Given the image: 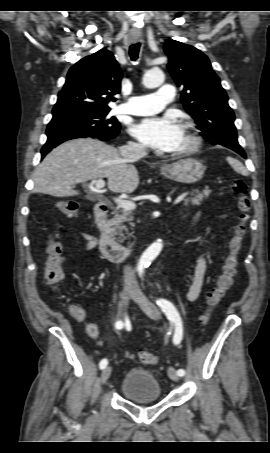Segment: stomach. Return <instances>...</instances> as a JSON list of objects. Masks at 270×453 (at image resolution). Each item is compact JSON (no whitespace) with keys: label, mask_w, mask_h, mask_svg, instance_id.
<instances>
[{"label":"stomach","mask_w":270,"mask_h":453,"mask_svg":"<svg viewBox=\"0 0 270 453\" xmlns=\"http://www.w3.org/2000/svg\"><path fill=\"white\" fill-rule=\"evenodd\" d=\"M204 171L203 164L193 158L181 159L161 168V173L165 177L184 184L198 182L203 178Z\"/></svg>","instance_id":"1"}]
</instances>
